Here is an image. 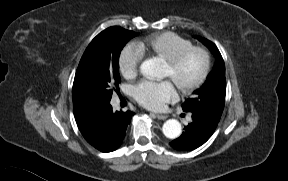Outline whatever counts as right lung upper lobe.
Wrapping results in <instances>:
<instances>
[{
    "label": "right lung upper lobe",
    "mask_w": 288,
    "mask_h": 181,
    "mask_svg": "<svg viewBox=\"0 0 288 181\" xmlns=\"http://www.w3.org/2000/svg\"><path fill=\"white\" fill-rule=\"evenodd\" d=\"M106 108L107 104L73 85L74 116L79 130L88 143H95L98 140L100 124Z\"/></svg>",
    "instance_id": "cb5924a9"
}]
</instances>
